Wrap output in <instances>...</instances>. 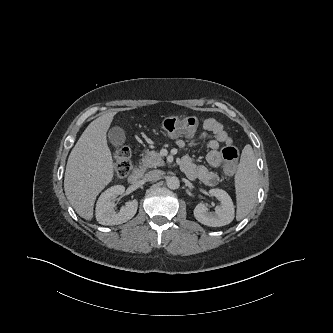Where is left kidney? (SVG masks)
<instances>
[{"label": "left kidney", "instance_id": "obj_1", "mask_svg": "<svg viewBox=\"0 0 333 333\" xmlns=\"http://www.w3.org/2000/svg\"><path fill=\"white\" fill-rule=\"evenodd\" d=\"M209 193L221 203L214 214H210L203 204H198L194 209V217L201 224L211 227H221L231 223L234 219V205L231 197L222 189H211Z\"/></svg>", "mask_w": 333, "mask_h": 333}]
</instances>
